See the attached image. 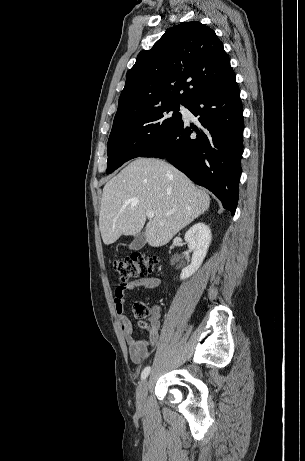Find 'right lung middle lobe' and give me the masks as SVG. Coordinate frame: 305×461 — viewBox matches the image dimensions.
Segmentation results:
<instances>
[{
    "instance_id": "1",
    "label": "right lung middle lobe",
    "mask_w": 305,
    "mask_h": 461,
    "mask_svg": "<svg viewBox=\"0 0 305 461\" xmlns=\"http://www.w3.org/2000/svg\"><path fill=\"white\" fill-rule=\"evenodd\" d=\"M179 104H165L114 123L108 140L107 174L162 144L183 122Z\"/></svg>"
}]
</instances>
